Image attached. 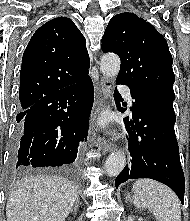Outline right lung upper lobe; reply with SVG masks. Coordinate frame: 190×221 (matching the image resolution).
Here are the masks:
<instances>
[{
  "label": "right lung upper lobe",
  "instance_id": "obj_1",
  "mask_svg": "<svg viewBox=\"0 0 190 221\" xmlns=\"http://www.w3.org/2000/svg\"><path fill=\"white\" fill-rule=\"evenodd\" d=\"M86 40L74 22L57 17L31 37L22 58L20 107L28 109L42 97L88 77Z\"/></svg>",
  "mask_w": 190,
  "mask_h": 221
}]
</instances>
